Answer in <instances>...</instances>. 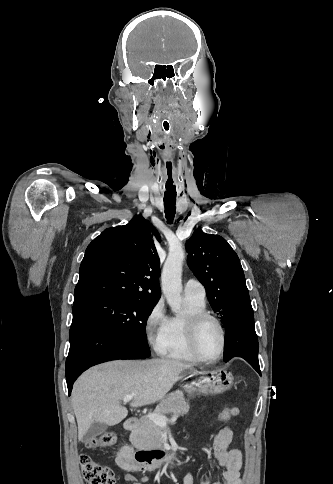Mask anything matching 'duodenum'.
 <instances>
[{
  "mask_svg": "<svg viewBox=\"0 0 333 484\" xmlns=\"http://www.w3.org/2000/svg\"><path fill=\"white\" fill-rule=\"evenodd\" d=\"M137 418H128L124 428L134 431L138 428ZM179 461V454L164 450H139L136 453L128 445L122 446L118 452V462L127 471H154L162 467H175Z\"/></svg>",
  "mask_w": 333,
  "mask_h": 484,
  "instance_id": "obj_1",
  "label": "duodenum"
}]
</instances>
